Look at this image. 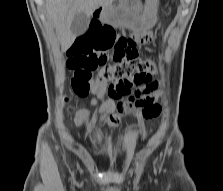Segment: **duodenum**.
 Here are the masks:
<instances>
[{"instance_id": "duodenum-1", "label": "duodenum", "mask_w": 223, "mask_h": 191, "mask_svg": "<svg viewBox=\"0 0 223 191\" xmlns=\"http://www.w3.org/2000/svg\"><path fill=\"white\" fill-rule=\"evenodd\" d=\"M103 11H104L103 6H98V7H96V8L94 9V11H93V16H94L95 18H98V17L101 16V14L103 13Z\"/></svg>"}]
</instances>
